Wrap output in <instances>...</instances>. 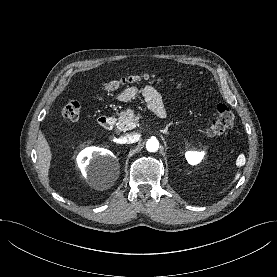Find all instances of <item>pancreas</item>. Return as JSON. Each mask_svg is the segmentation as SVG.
<instances>
[{"label": "pancreas", "instance_id": "cf45deb5", "mask_svg": "<svg viewBox=\"0 0 277 277\" xmlns=\"http://www.w3.org/2000/svg\"><path fill=\"white\" fill-rule=\"evenodd\" d=\"M140 115H135L134 111L127 109L120 113L117 122V129L120 131H128L133 129V125L138 122Z\"/></svg>", "mask_w": 277, "mask_h": 277}]
</instances>
